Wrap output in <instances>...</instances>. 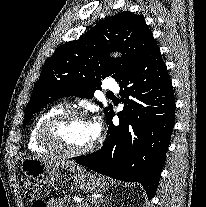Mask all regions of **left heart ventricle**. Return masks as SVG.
<instances>
[{
  "label": "left heart ventricle",
  "mask_w": 206,
  "mask_h": 207,
  "mask_svg": "<svg viewBox=\"0 0 206 207\" xmlns=\"http://www.w3.org/2000/svg\"><path fill=\"white\" fill-rule=\"evenodd\" d=\"M57 141L69 150L85 148L93 141L91 123L72 119L58 125L54 130Z\"/></svg>",
  "instance_id": "b2bd125f"
}]
</instances>
